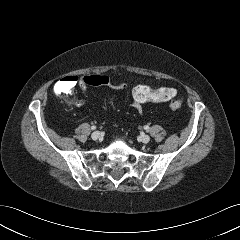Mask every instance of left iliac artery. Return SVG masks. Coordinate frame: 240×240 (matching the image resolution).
Segmentation results:
<instances>
[{
	"mask_svg": "<svg viewBox=\"0 0 240 240\" xmlns=\"http://www.w3.org/2000/svg\"><path fill=\"white\" fill-rule=\"evenodd\" d=\"M144 129H145L146 131H149L150 127L146 125V126H144Z\"/></svg>",
	"mask_w": 240,
	"mask_h": 240,
	"instance_id": "left-iliac-artery-1",
	"label": "left iliac artery"
}]
</instances>
